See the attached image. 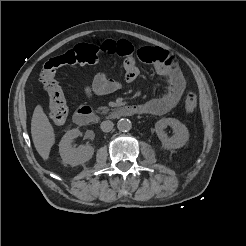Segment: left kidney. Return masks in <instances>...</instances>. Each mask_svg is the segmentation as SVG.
Returning <instances> with one entry per match:
<instances>
[{"label":"left kidney","instance_id":"left-kidney-1","mask_svg":"<svg viewBox=\"0 0 246 246\" xmlns=\"http://www.w3.org/2000/svg\"><path fill=\"white\" fill-rule=\"evenodd\" d=\"M167 126H170L174 132V135L170 138L164 131ZM155 131L162 146L167 150L181 148L189 140L187 127L175 118H163L157 121L155 124Z\"/></svg>","mask_w":246,"mask_h":246}]
</instances>
